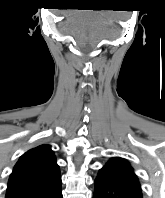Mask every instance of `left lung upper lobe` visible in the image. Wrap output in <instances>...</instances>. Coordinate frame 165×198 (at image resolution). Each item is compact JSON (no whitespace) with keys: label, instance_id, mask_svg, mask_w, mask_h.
<instances>
[{"label":"left lung upper lobe","instance_id":"1","mask_svg":"<svg viewBox=\"0 0 165 198\" xmlns=\"http://www.w3.org/2000/svg\"><path fill=\"white\" fill-rule=\"evenodd\" d=\"M101 171L109 173L111 176L120 182L141 191V187L137 176L133 172L132 167L128 161L123 158H112L101 169Z\"/></svg>","mask_w":165,"mask_h":198}]
</instances>
